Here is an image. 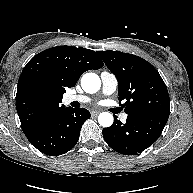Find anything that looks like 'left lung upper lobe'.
Wrapping results in <instances>:
<instances>
[{"label": "left lung upper lobe", "instance_id": "obj_1", "mask_svg": "<svg viewBox=\"0 0 193 193\" xmlns=\"http://www.w3.org/2000/svg\"><path fill=\"white\" fill-rule=\"evenodd\" d=\"M97 54L118 80V99L124 102L127 118L169 114L166 85L149 62L120 51H97Z\"/></svg>", "mask_w": 193, "mask_h": 193}]
</instances>
